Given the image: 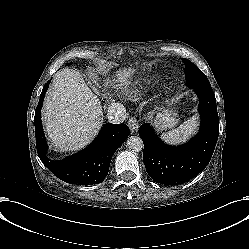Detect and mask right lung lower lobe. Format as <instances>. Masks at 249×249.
<instances>
[{
  "label": "right lung lower lobe",
  "instance_id": "right-lung-lower-lobe-1",
  "mask_svg": "<svg viewBox=\"0 0 249 249\" xmlns=\"http://www.w3.org/2000/svg\"><path fill=\"white\" fill-rule=\"evenodd\" d=\"M49 83L50 81L43 87L34 117L38 156L55 176L67 183L92 185L103 182L108 174L113 154L130 134L128 126L104 124L96 139L81 152L59 161L49 159L45 154L47 144L40 112Z\"/></svg>",
  "mask_w": 249,
  "mask_h": 249
}]
</instances>
